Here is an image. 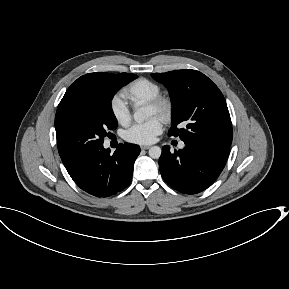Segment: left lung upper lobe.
<instances>
[{
	"mask_svg": "<svg viewBox=\"0 0 289 289\" xmlns=\"http://www.w3.org/2000/svg\"><path fill=\"white\" fill-rule=\"evenodd\" d=\"M152 77L164 84L171 95L173 118L169 136L231 145L232 124L226 101L207 76L196 70H174L153 73Z\"/></svg>",
	"mask_w": 289,
	"mask_h": 289,
	"instance_id": "obj_1",
	"label": "left lung upper lobe"
}]
</instances>
